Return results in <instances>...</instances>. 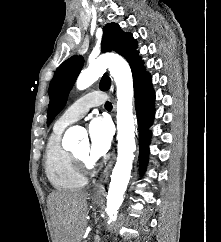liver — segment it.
<instances>
[{
	"instance_id": "6515ba94",
	"label": "liver",
	"mask_w": 221,
	"mask_h": 242,
	"mask_svg": "<svg viewBox=\"0 0 221 242\" xmlns=\"http://www.w3.org/2000/svg\"><path fill=\"white\" fill-rule=\"evenodd\" d=\"M87 196L85 191L52 192L48 196L54 242H81L87 225Z\"/></svg>"
}]
</instances>
